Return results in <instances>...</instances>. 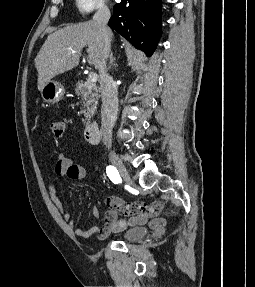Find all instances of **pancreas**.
<instances>
[{
	"label": "pancreas",
	"mask_w": 255,
	"mask_h": 287,
	"mask_svg": "<svg viewBox=\"0 0 255 287\" xmlns=\"http://www.w3.org/2000/svg\"><path fill=\"white\" fill-rule=\"evenodd\" d=\"M75 94L80 96L84 104L85 110H83V114L85 118L82 122L86 126V124H89L90 116H93L100 98L98 86L94 82H78Z\"/></svg>",
	"instance_id": "cf45deb5"
}]
</instances>
